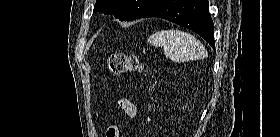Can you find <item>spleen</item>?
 Returning a JSON list of instances; mask_svg holds the SVG:
<instances>
[{
  "label": "spleen",
  "instance_id": "obj_1",
  "mask_svg": "<svg viewBox=\"0 0 280 137\" xmlns=\"http://www.w3.org/2000/svg\"><path fill=\"white\" fill-rule=\"evenodd\" d=\"M148 42L163 47L166 57L174 62H186L207 57L203 44L193 35L178 29L161 30L149 36Z\"/></svg>",
  "mask_w": 280,
  "mask_h": 137
}]
</instances>
